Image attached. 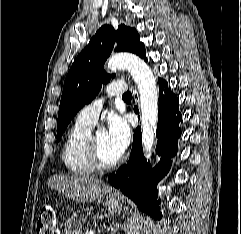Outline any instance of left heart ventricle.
<instances>
[{"label": "left heart ventricle", "instance_id": "1", "mask_svg": "<svg viewBox=\"0 0 241 234\" xmlns=\"http://www.w3.org/2000/svg\"><path fill=\"white\" fill-rule=\"evenodd\" d=\"M94 136L98 143L101 157L105 162H113L121 155L110 143L106 131H97Z\"/></svg>", "mask_w": 241, "mask_h": 234}]
</instances>
